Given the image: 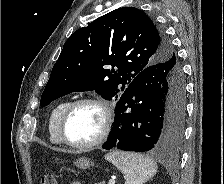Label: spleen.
<instances>
[{
	"label": "spleen",
	"mask_w": 224,
	"mask_h": 184,
	"mask_svg": "<svg viewBox=\"0 0 224 184\" xmlns=\"http://www.w3.org/2000/svg\"><path fill=\"white\" fill-rule=\"evenodd\" d=\"M105 159L125 175V184H143L152 178L158 169L152 159L138 153L114 151L106 154Z\"/></svg>",
	"instance_id": "3e777b00"
}]
</instances>
